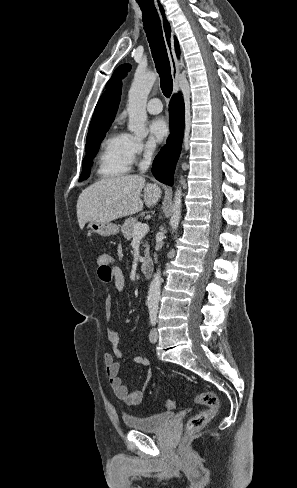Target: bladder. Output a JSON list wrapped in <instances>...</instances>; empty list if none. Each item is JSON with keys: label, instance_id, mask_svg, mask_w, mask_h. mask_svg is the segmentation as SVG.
Returning a JSON list of instances; mask_svg holds the SVG:
<instances>
[{"label": "bladder", "instance_id": "obj_1", "mask_svg": "<svg viewBox=\"0 0 297 488\" xmlns=\"http://www.w3.org/2000/svg\"><path fill=\"white\" fill-rule=\"evenodd\" d=\"M173 418L174 414L172 412H163L148 417L125 414L123 423L129 429L141 432H159L166 428Z\"/></svg>", "mask_w": 297, "mask_h": 488}]
</instances>
